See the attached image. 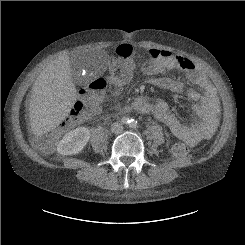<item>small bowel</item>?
I'll use <instances>...</instances> for the list:
<instances>
[{
  "instance_id": "c3829d8e",
  "label": "small bowel",
  "mask_w": 245,
  "mask_h": 245,
  "mask_svg": "<svg viewBox=\"0 0 245 245\" xmlns=\"http://www.w3.org/2000/svg\"><path fill=\"white\" fill-rule=\"evenodd\" d=\"M148 56L154 63L153 68L144 67L143 70L147 74L157 75L150 80V83L154 86L170 89L174 92L180 91L181 82L166 74L168 70L180 69L186 73L191 83L200 88V93L196 91L190 93L194 101L193 110L196 120L190 126L185 125L164 100L151 103L147 98L140 97L133 102L134 110L143 114L154 115L167 125L175 136L191 145L210 139L218 125L219 100L215 86L206 74L196 67L192 60L184 56L157 49L148 50ZM117 91H119V88L115 89V92ZM103 99L104 93L100 96V102Z\"/></svg>"
}]
</instances>
